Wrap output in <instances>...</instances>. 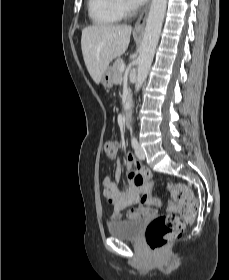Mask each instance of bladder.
Segmentation results:
<instances>
[{
    "instance_id": "bladder-1",
    "label": "bladder",
    "mask_w": 229,
    "mask_h": 280,
    "mask_svg": "<svg viewBox=\"0 0 229 280\" xmlns=\"http://www.w3.org/2000/svg\"><path fill=\"white\" fill-rule=\"evenodd\" d=\"M144 222L143 218L118 220L108 224V231L115 238L136 240L142 233Z\"/></svg>"
}]
</instances>
